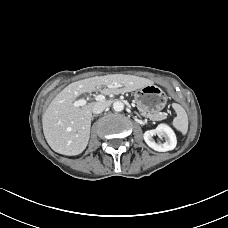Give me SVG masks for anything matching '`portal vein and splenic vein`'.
<instances>
[{
	"label": "portal vein and splenic vein",
	"mask_w": 228,
	"mask_h": 228,
	"mask_svg": "<svg viewBox=\"0 0 228 228\" xmlns=\"http://www.w3.org/2000/svg\"><path fill=\"white\" fill-rule=\"evenodd\" d=\"M94 99H95L96 101H104V100H105V96L102 95V94H99V95L94 96ZM86 104H87V100L84 99V98H82V99H79V100L75 101V102L73 103V106L79 107V106H84V105H86Z\"/></svg>",
	"instance_id": "obj_1"
}]
</instances>
